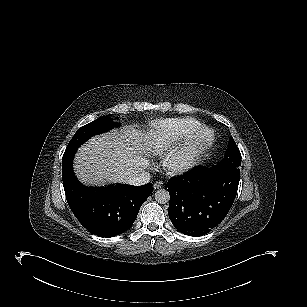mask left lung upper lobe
I'll return each instance as SVG.
<instances>
[{
    "instance_id": "obj_1",
    "label": "left lung upper lobe",
    "mask_w": 307,
    "mask_h": 307,
    "mask_svg": "<svg viewBox=\"0 0 307 307\" xmlns=\"http://www.w3.org/2000/svg\"><path fill=\"white\" fill-rule=\"evenodd\" d=\"M241 166V154L240 151L231 137L228 145V149L225 153L223 160L218 164L213 166L214 168H231L235 171H240L239 167Z\"/></svg>"
}]
</instances>
